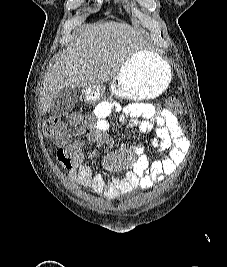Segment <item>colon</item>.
Masks as SVG:
<instances>
[{"label": "colon", "mask_w": 227, "mask_h": 267, "mask_svg": "<svg viewBox=\"0 0 227 267\" xmlns=\"http://www.w3.org/2000/svg\"><path fill=\"white\" fill-rule=\"evenodd\" d=\"M168 110L173 113H180L182 108L175 98H169L166 102ZM81 119L80 113L69 115V122H78ZM66 132V122L58 116H48L42 124V134L51 140L61 138Z\"/></svg>", "instance_id": "colon-1"}]
</instances>
